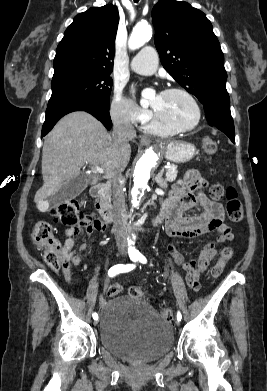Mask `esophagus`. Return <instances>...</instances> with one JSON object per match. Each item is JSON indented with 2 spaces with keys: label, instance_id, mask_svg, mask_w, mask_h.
Here are the masks:
<instances>
[{
  "label": "esophagus",
  "instance_id": "esophagus-1",
  "mask_svg": "<svg viewBox=\"0 0 267 391\" xmlns=\"http://www.w3.org/2000/svg\"><path fill=\"white\" fill-rule=\"evenodd\" d=\"M140 142L142 145L148 146L151 143V139L148 136L143 135V136H141Z\"/></svg>",
  "mask_w": 267,
  "mask_h": 391
}]
</instances>
